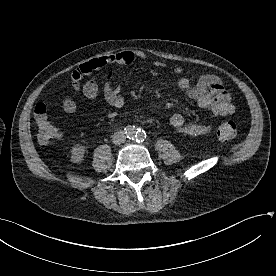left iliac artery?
Returning <instances> with one entry per match:
<instances>
[{
  "label": "left iliac artery",
  "mask_w": 276,
  "mask_h": 276,
  "mask_svg": "<svg viewBox=\"0 0 276 276\" xmlns=\"http://www.w3.org/2000/svg\"><path fill=\"white\" fill-rule=\"evenodd\" d=\"M144 138V133H143V131H140V129H139V132H138V140H144L143 139Z\"/></svg>",
  "instance_id": "44dca946"
}]
</instances>
